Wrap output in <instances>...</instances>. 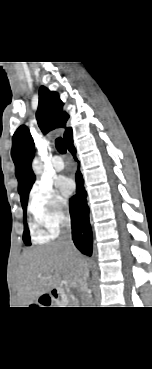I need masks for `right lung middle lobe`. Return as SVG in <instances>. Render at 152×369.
<instances>
[{
  "label": "right lung middle lobe",
  "mask_w": 152,
  "mask_h": 369,
  "mask_svg": "<svg viewBox=\"0 0 152 369\" xmlns=\"http://www.w3.org/2000/svg\"><path fill=\"white\" fill-rule=\"evenodd\" d=\"M21 204H22V207L24 209V215H25L26 214V208H27V201L26 202H23ZM24 223H25V228H24L23 240H24V243L26 245H31L30 236H29V229L27 228V225H26V218H25V216H24Z\"/></svg>",
  "instance_id": "1"
}]
</instances>
